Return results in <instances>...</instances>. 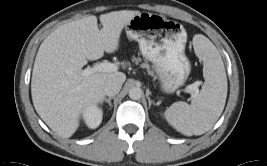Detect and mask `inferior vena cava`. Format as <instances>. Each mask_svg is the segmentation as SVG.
<instances>
[{
  "label": "inferior vena cava",
  "mask_w": 267,
  "mask_h": 166,
  "mask_svg": "<svg viewBox=\"0 0 267 166\" xmlns=\"http://www.w3.org/2000/svg\"><path fill=\"white\" fill-rule=\"evenodd\" d=\"M122 87V82L117 79L107 80L104 83L103 91L107 96H115L119 93Z\"/></svg>",
  "instance_id": "inferior-vena-cava-1"
}]
</instances>
